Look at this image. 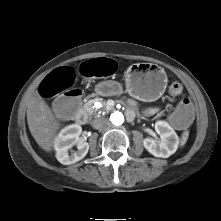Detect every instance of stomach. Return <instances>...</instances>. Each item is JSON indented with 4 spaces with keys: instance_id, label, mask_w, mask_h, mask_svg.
I'll return each instance as SVG.
<instances>
[{
    "instance_id": "0dacf381",
    "label": "stomach",
    "mask_w": 221,
    "mask_h": 221,
    "mask_svg": "<svg viewBox=\"0 0 221 221\" xmlns=\"http://www.w3.org/2000/svg\"><path fill=\"white\" fill-rule=\"evenodd\" d=\"M126 92L140 101L159 99L167 86L163 68L153 63L132 64L124 74Z\"/></svg>"
}]
</instances>
